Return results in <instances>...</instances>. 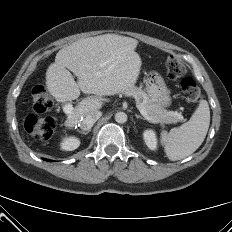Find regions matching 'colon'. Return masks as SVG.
<instances>
[{
    "mask_svg": "<svg viewBox=\"0 0 232 232\" xmlns=\"http://www.w3.org/2000/svg\"><path fill=\"white\" fill-rule=\"evenodd\" d=\"M167 75L172 80L181 79L180 88L182 98L189 103H197L202 99L200 87L190 77H184L186 66L174 56H169L165 61ZM31 98L34 113L29 114L24 121L25 130L36 140L47 141L51 138L55 122L50 117L40 114L47 112L53 106V99L42 84L32 88Z\"/></svg>",
    "mask_w": 232,
    "mask_h": 232,
    "instance_id": "5ec220e1",
    "label": "colon"
}]
</instances>
